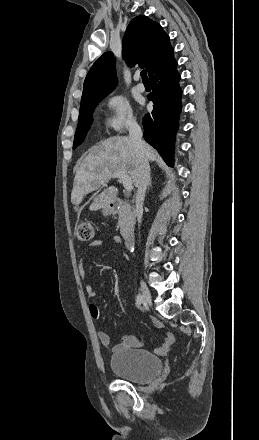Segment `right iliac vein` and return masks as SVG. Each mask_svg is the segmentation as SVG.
<instances>
[{
  "mask_svg": "<svg viewBox=\"0 0 259 440\" xmlns=\"http://www.w3.org/2000/svg\"><path fill=\"white\" fill-rule=\"evenodd\" d=\"M141 292H142L144 304L146 306H151V293L143 281H141Z\"/></svg>",
  "mask_w": 259,
  "mask_h": 440,
  "instance_id": "63e3f726",
  "label": "right iliac vein"
}]
</instances>
